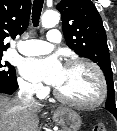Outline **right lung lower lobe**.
I'll return each mask as SVG.
<instances>
[{
  "mask_svg": "<svg viewBox=\"0 0 117 131\" xmlns=\"http://www.w3.org/2000/svg\"><path fill=\"white\" fill-rule=\"evenodd\" d=\"M15 91H16V89H9V88H6V87L0 85V93H5V94L11 95Z\"/></svg>",
  "mask_w": 117,
  "mask_h": 131,
  "instance_id": "98d812e1",
  "label": "right lung lower lobe"
}]
</instances>
